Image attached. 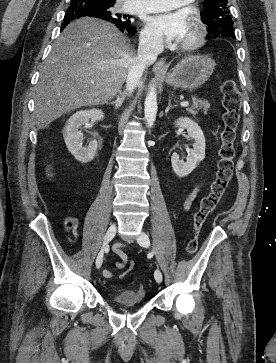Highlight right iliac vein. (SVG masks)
I'll list each match as a JSON object with an SVG mask.
<instances>
[{"label": "right iliac vein", "instance_id": "right-iliac-vein-1", "mask_svg": "<svg viewBox=\"0 0 276 363\" xmlns=\"http://www.w3.org/2000/svg\"><path fill=\"white\" fill-rule=\"evenodd\" d=\"M115 234H116V224L112 223L109 226V228H108V230H107V232L105 234L102 249L100 250V252L97 255V258H96V267L97 268H99L101 266V262L103 261V254H104L105 248L108 245V243L114 238Z\"/></svg>", "mask_w": 276, "mask_h": 363}]
</instances>
